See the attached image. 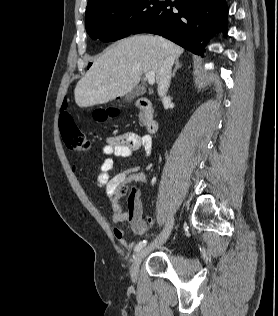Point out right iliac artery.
<instances>
[{
  "label": "right iliac artery",
  "mask_w": 278,
  "mask_h": 316,
  "mask_svg": "<svg viewBox=\"0 0 278 316\" xmlns=\"http://www.w3.org/2000/svg\"><path fill=\"white\" fill-rule=\"evenodd\" d=\"M147 241L146 240H143V241H140L136 246H135V252H138L140 251L145 245H146Z\"/></svg>",
  "instance_id": "82829eb1"
}]
</instances>
